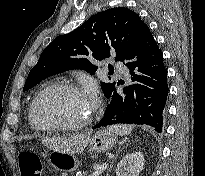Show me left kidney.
Instances as JSON below:
<instances>
[{"label": "left kidney", "mask_w": 205, "mask_h": 176, "mask_svg": "<svg viewBox=\"0 0 205 176\" xmlns=\"http://www.w3.org/2000/svg\"><path fill=\"white\" fill-rule=\"evenodd\" d=\"M144 162L141 152L128 153L118 163L116 176H139L144 168Z\"/></svg>", "instance_id": "obj_1"}]
</instances>
